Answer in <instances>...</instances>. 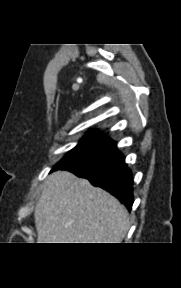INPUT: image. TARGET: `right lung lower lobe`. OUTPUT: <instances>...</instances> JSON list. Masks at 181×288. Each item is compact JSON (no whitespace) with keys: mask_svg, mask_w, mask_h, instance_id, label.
Masks as SVG:
<instances>
[{"mask_svg":"<svg viewBox=\"0 0 181 288\" xmlns=\"http://www.w3.org/2000/svg\"><path fill=\"white\" fill-rule=\"evenodd\" d=\"M60 169L87 178L94 186L108 191L131 210L134 202L133 179L122 155L97 162L72 164Z\"/></svg>","mask_w":181,"mask_h":288,"instance_id":"obj_1","label":"right lung lower lobe"}]
</instances>
